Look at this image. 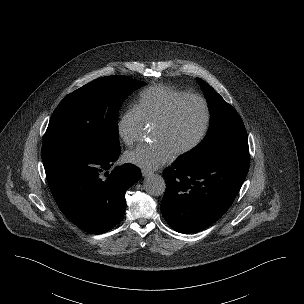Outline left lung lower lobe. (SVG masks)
Masks as SVG:
<instances>
[{
    "label": "left lung lower lobe",
    "instance_id": "0a47b994",
    "mask_svg": "<svg viewBox=\"0 0 304 304\" xmlns=\"http://www.w3.org/2000/svg\"><path fill=\"white\" fill-rule=\"evenodd\" d=\"M249 169V156L223 155L191 166L178 160L163 171L161 211L177 232H199L232 205Z\"/></svg>",
    "mask_w": 304,
    "mask_h": 304
}]
</instances>
